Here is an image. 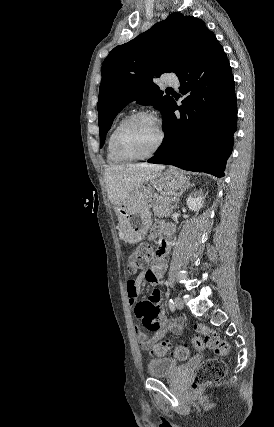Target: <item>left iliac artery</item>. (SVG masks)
Here are the masks:
<instances>
[{"mask_svg": "<svg viewBox=\"0 0 274 427\" xmlns=\"http://www.w3.org/2000/svg\"><path fill=\"white\" fill-rule=\"evenodd\" d=\"M168 305H169L170 310L174 311L175 306H174V302L171 298L168 300Z\"/></svg>", "mask_w": 274, "mask_h": 427, "instance_id": "1", "label": "left iliac artery"}]
</instances>
